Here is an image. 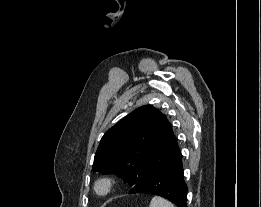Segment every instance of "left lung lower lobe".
<instances>
[{
  "mask_svg": "<svg viewBox=\"0 0 261 207\" xmlns=\"http://www.w3.org/2000/svg\"><path fill=\"white\" fill-rule=\"evenodd\" d=\"M182 154L152 176L136 184L129 194L147 193L168 199L177 207H187V185L184 181Z\"/></svg>",
  "mask_w": 261,
  "mask_h": 207,
  "instance_id": "1",
  "label": "left lung lower lobe"
}]
</instances>
